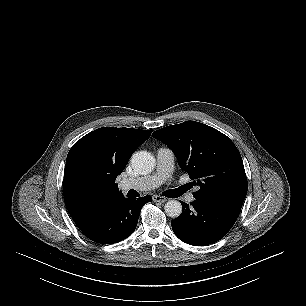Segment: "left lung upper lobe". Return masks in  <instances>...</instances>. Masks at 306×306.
Segmentation results:
<instances>
[{
  "mask_svg": "<svg viewBox=\"0 0 306 306\" xmlns=\"http://www.w3.org/2000/svg\"><path fill=\"white\" fill-rule=\"evenodd\" d=\"M153 137L166 144L197 184L195 199L243 204L248 183L241 155L220 131L196 121H185L155 131Z\"/></svg>",
  "mask_w": 306,
  "mask_h": 306,
  "instance_id": "left-lung-upper-lobe-1",
  "label": "left lung upper lobe"
}]
</instances>
